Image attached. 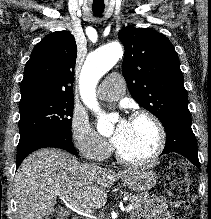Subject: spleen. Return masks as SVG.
<instances>
[{
  "label": "spleen",
  "mask_w": 211,
  "mask_h": 219,
  "mask_svg": "<svg viewBox=\"0 0 211 219\" xmlns=\"http://www.w3.org/2000/svg\"><path fill=\"white\" fill-rule=\"evenodd\" d=\"M195 199H196V196H193L192 202H194V201H195Z\"/></svg>",
  "instance_id": "obj_1"
}]
</instances>
